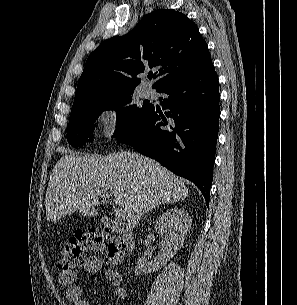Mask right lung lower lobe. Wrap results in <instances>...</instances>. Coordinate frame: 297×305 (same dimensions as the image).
<instances>
[{
  "instance_id": "1",
  "label": "right lung lower lobe",
  "mask_w": 297,
  "mask_h": 305,
  "mask_svg": "<svg viewBox=\"0 0 297 305\" xmlns=\"http://www.w3.org/2000/svg\"><path fill=\"white\" fill-rule=\"evenodd\" d=\"M164 114L151 105L147 114L117 136L119 142L155 159L192 181L207 205L219 129V83L212 66L194 78L156 90Z\"/></svg>"
}]
</instances>
